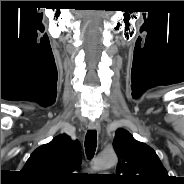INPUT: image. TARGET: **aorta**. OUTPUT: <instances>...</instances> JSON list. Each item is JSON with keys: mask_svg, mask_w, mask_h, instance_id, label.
I'll return each instance as SVG.
<instances>
[{"mask_svg": "<svg viewBox=\"0 0 184 184\" xmlns=\"http://www.w3.org/2000/svg\"><path fill=\"white\" fill-rule=\"evenodd\" d=\"M117 161H118L117 156L113 151L103 152L94 161L93 169L98 171L110 168L116 165Z\"/></svg>", "mask_w": 184, "mask_h": 184, "instance_id": "762f6f07", "label": "aorta"}]
</instances>
